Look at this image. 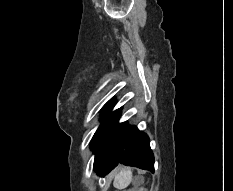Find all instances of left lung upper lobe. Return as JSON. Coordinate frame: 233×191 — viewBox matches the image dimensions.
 <instances>
[{
  "label": "left lung upper lobe",
  "mask_w": 233,
  "mask_h": 191,
  "mask_svg": "<svg viewBox=\"0 0 233 191\" xmlns=\"http://www.w3.org/2000/svg\"><path fill=\"white\" fill-rule=\"evenodd\" d=\"M115 105L114 101H109L103 108L102 116L105 117L103 122L100 124L99 128L97 129L96 133L94 134L92 140H91V148L94 146L95 142L103 132V130L112 122V120L117 116V114L120 112V109L115 110L114 112H111L113 106Z\"/></svg>",
  "instance_id": "1"
}]
</instances>
